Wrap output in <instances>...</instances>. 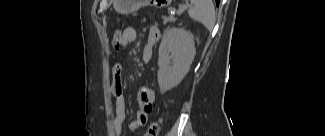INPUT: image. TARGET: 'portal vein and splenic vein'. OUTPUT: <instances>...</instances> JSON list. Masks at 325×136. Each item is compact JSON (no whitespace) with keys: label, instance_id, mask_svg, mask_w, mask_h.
Here are the masks:
<instances>
[{"label":"portal vein and splenic vein","instance_id":"1","mask_svg":"<svg viewBox=\"0 0 325 136\" xmlns=\"http://www.w3.org/2000/svg\"><path fill=\"white\" fill-rule=\"evenodd\" d=\"M190 5H188V4H183V5H181L180 7H179V9H178V14H181L182 12H184L188 7H189Z\"/></svg>","mask_w":325,"mask_h":136}]
</instances>
